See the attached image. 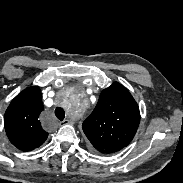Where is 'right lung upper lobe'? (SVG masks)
Wrapping results in <instances>:
<instances>
[{
  "label": "right lung upper lobe",
  "mask_w": 183,
  "mask_h": 183,
  "mask_svg": "<svg viewBox=\"0 0 183 183\" xmlns=\"http://www.w3.org/2000/svg\"><path fill=\"white\" fill-rule=\"evenodd\" d=\"M43 110L41 91L38 86L19 93L5 112L4 126L10 142L22 151L41 146L48 137L42 129L39 115Z\"/></svg>",
  "instance_id": "1"
}]
</instances>
